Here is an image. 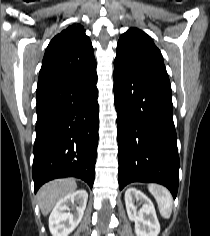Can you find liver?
I'll return each instance as SVG.
<instances>
[{
    "label": "liver",
    "mask_w": 210,
    "mask_h": 236,
    "mask_svg": "<svg viewBox=\"0 0 210 236\" xmlns=\"http://www.w3.org/2000/svg\"><path fill=\"white\" fill-rule=\"evenodd\" d=\"M76 189L77 184L74 179H57L43 185L37 194L42 214L48 215L59 200L75 192Z\"/></svg>",
    "instance_id": "1"
}]
</instances>
